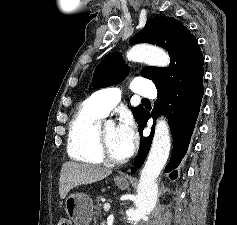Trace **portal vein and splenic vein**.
I'll return each mask as SVG.
<instances>
[{"label": "portal vein and splenic vein", "mask_w": 237, "mask_h": 225, "mask_svg": "<svg viewBox=\"0 0 237 225\" xmlns=\"http://www.w3.org/2000/svg\"><path fill=\"white\" fill-rule=\"evenodd\" d=\"M110 208H111L110 203H108V202L104 203L103 209L105 212H109Z\"/></svg>", "instance_id": "18ae733b"}]
</instances>
